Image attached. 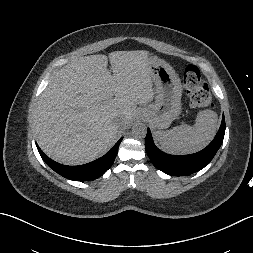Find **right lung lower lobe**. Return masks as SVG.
<instances>
[{
    "mask_svg": "<svg viewBox=\"0 0 253 253\" xmlns=\"http://www.w3.org/2000/svg\"><path fill=\"white\" fill-rule=\"evenodd\" d=\"M122 139L123 137L101 158L80 166L59 164L47 157L38 146L37 149L46 164L61 176L74 181H87L102 176L112 166Z\"/></svg>",
    "mask_w": 253,
    "mask_h": 253,
    "instance_id": "98d812e1",
    "label": "right lung lower lobe"
}]
</instances>
